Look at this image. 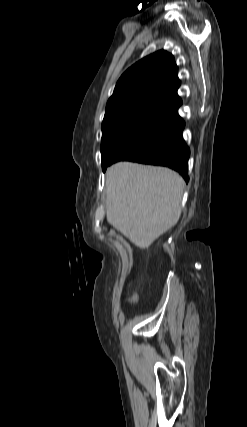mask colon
I'll return each mask as SVG.
<instances>
[{
  "label": "colon",
  "instance_id": "colon-1",
  "mask_svg": "<svg viewBox=\"0 0 247 427\" xmlns=\"http://www.w3.org/2000/svg\"><path fill=\"white\" fill-rule=\"evenodd\" d=\"M137 299H138V296L136 294H134L130 297V302L135 303L137 301Z\"/></svg>",
  "mask_w": 247,
  "mask_h": 427
}]
</instances>
